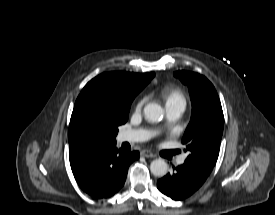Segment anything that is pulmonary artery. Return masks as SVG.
Here are the masks:
<instances>
[{
    "instance_id": "obj_1",
    "label": "pulmonary artery",
    "mask_w": 275,
    "mask_h": 215,
    "mask_svg": "<svg viewBox=\"0 0 275 215\" xmlns=\"http://www.w3.org/2000/svg\"><path fill=\"white\" fill-rule=\"evenodd\" d=\"M185 110V105L183 104H175L166 107L167 115L169 120L173 121L178 119ZM151 133L142 130V129H134V130H125L122 131L119 135V140L121 142H138V141H145L149 139ZM185 161V157L181 156L178 158L177 163L183 164Z\"/></svg>"
}]
</instances>
